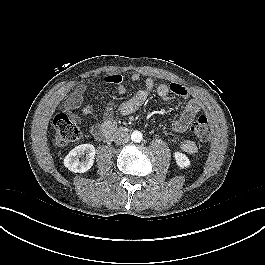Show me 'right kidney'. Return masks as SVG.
Returning <instances> with one entry per match:
<instances>
[{
    "label": "right kidney",
    "mask_w": 265,
    "mask_h": 265,
    "mask_svg": "<svg viewBox=\"0 0 265 265\" xmlns=\"http://www.w3.org/2000/svg\"><path fill=\"white\" fill-rule=\"evenodd\" d=\"M95 147L92 144H82L73 148L64 158V166L75 173L88 171L94 163ZM86 155L83 159L81 156Z\"/></svg>",
    "instance_id": "ca27d5eb"
}]
</instances>
